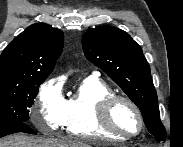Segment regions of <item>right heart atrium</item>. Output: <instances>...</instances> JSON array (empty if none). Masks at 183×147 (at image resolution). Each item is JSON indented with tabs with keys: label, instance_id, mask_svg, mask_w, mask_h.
<instances>
[{
	"label": "right heart atrium",
	"instance_id": "1",
	"mask_svg": "<svg viewBox=\"0 0 183 147\" xmlns=\"http://www.w3.org/2000/svg\"><path fill=\"white\" fill-rule=\"evenodd\" d=\"M63 84L59 78L45 81L39 88L35 121H40L50 129L63 125L65 116Z\"/></svg>",
	"mask_w": 183,
	"mask_h": 147
}]
</instances>
